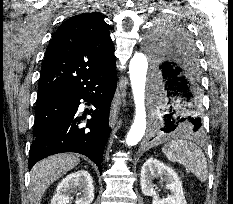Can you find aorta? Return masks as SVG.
<instances>
[{
    "label": "aorta",
    "instance_id": "762f6f07",
    "mask_svg": "<svg viewBox=\"0 0 233 204\" xmlns=\"http://www.w3.org/2000/svg\"><path fill=\"white\" fill-rule=\"evenodd\" d=\"M148 61L143 53H136L130 60L129 73L135 102V117L126 138V145H136L144 136L147 126L145 111V84Z\"/></svg>",
    "mask_w": 233,
    "mask_h": 204
}]
</instances>
